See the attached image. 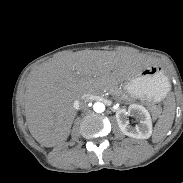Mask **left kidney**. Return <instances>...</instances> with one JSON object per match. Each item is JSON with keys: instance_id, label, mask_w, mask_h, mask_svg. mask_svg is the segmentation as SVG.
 <instances>
[{"instance_id": "left-kidney-1", "label": "left kidney", "mask_w": 183, "mask_h": 183, "mask_svg": "<svg viewBox=\"0 0 183 183\" xmlns=\"http://www.w3.org/2000/svg\"><path fill=\"white\" fill-rule=\"evenodd\" d=\"M133 116L139 124L135 127L129 124L127 116ZM116 120L120 130L126 136L136 139H148L152 134V120L148 110L142 105L131 104L128 109H119Z\"/></svg>"}]
</instances>
